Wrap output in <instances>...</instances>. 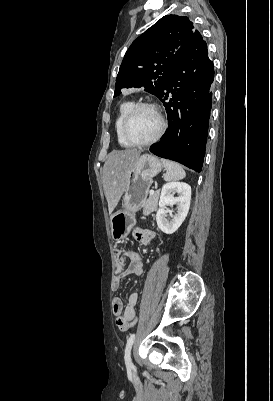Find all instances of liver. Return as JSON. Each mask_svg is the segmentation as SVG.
<instances>
[{
    "label": "liver",
    "instance_id": "obj_1",
    "mask_svg": "<svg viewBox=\"0 0 273 401\" xmlns=\"http://www.w3.org/2000/svg\"><path fill=\"white\" fill-rule=\"evenodd\" d=\"M140 156L137 148L128 150H112L103 166V186L108 203L109 215L117 207L120 198L126 190L128 170L132 168Z\"/></svg>",
    "mask_w": 273,
    "mask_h": 401
}]
</instances>
